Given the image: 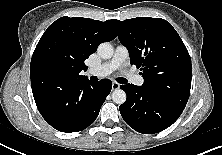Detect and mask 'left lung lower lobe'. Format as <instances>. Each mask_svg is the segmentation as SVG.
I'll list each match as a JSON object with an SVG mask.
<instances>
[{
	"instance_id": "left-lung-lower-lobe-1",
	"label": "left lung lower lobe",
	"mask_w": 222,
	"mask_h": 155,
	"mask_svg": "<svg viewBox=\"0 0 222 155\" xmlns=\"http://www.w3.org/2000/svg\"><path fill=\"white\" fill-rule=\"evenodd\" d=\"M127 100L119 106L124 121L135 131L158 133L171 126L183 112L186 103L147 91L142 86L121 85Z\"/></svg>"
}]
</instances>
